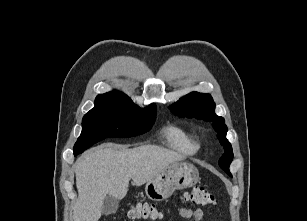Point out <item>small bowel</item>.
Returning a JSON list of instances; mask_svg holds the SVG:
<instances>
[{
  "label": "small bowel",
  "instance_id": "small-bowel-1",
  "mask_svg": "<svg viewBox=\"0 0 307 221\" xmlns=\"http://www.w3.org/2000/svg\"><path fill=\"white\" fill-rule=\"evenodd\" d=\"M178 214L186 219H192L193 221H202L203 219V212L200 209L192 210L186 207H177Z\"/></svg>",
  "mask_w": 307,
  "mask_h": 221
}]
</instances>
